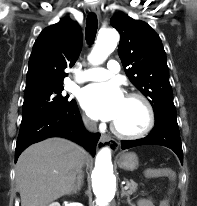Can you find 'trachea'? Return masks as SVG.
<instances>
[{"instance_id": "3493384b", "label": "trachea", "mask_w": 197, "mask_h": 206, "mask_svg": "<svg viewBox=\"0 0 197 206\" xmlns=\"http://www.w3.org/2000/svg\"><path fill=\"white\" fill-rule=\"evenodd\" d=\"M97 17L94 13H90L86 21V40L89 45L93 44L97 34Z\"/></svg>"}]
</instances>
